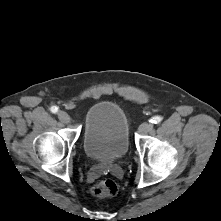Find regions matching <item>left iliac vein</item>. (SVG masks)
Wrapping results in <instances>:
<instances>
[{"label":"left iliac vein","mask_w":221,"mask_h":221,"mask_svg":"<svg viewBox=\"0 0 221 221\" xmlns=\"http://www.w3.org/2000/svg\"><path fill=\"white\" fill-rule=\"evenodd\" d=\"M153 128V124L150 122H144L139 126V132L146 133Z\"/></svg>","instance_id":"4c4485c4"}]
</instances>
